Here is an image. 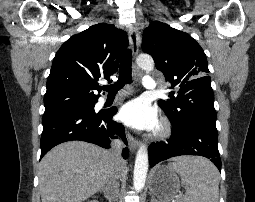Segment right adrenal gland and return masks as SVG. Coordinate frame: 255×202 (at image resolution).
<instances>
[{
    "mask_svg": "<svg viewBox=\"0 0 255 202\" xmlns=\"http://www.w3.org/2000/svg\"><path fill=\"white\" fill-rule=\"evenodd\" d=\"M102 191H103V193H104L105 198H106L109 202H113V201H114V199H111V198L106 194V191L104 190V188L100 190V192H102Z\"/></svg>",
    "mask_w": 255,
    "mask_h": 202,
    "instance_id": "2a0ac1e0",
    "label": "right adrenal gland"
}]
</instances>
